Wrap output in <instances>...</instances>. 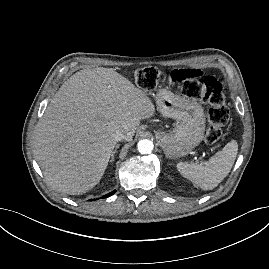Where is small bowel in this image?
<instances>
[{
	"label": "small bowel",
	"mask_w": 269,
	"mask_h": 269,
	"mask_svg": "<svg viewBox=\"0 0 269 269\" xmlns=\"http://www.w3.org/2000/svg\"><path fill=\"white\" fill-rule=\"evenodd\" d=\"M205 77L206 72L204 70H195L192 67H186L170 72L168 80L172 84H178L185 81H192L194 79H204Z\"/></svg>",
	"instance_id": "obj_1"
}]
</instances>
